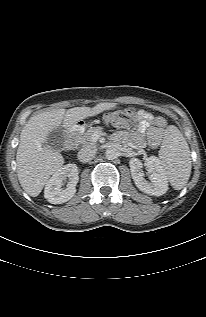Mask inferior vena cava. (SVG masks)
<instances>
[{
    "label": "inferior vena cava",
    "instance_id": "1",
    "mask_svg": "<svg viewBox=\"0 0 206 317\" xmlns=\"http://www.w3.org/2000/svg\"><path fill=\"white\" fill-rule=\"evenodd\" d=\"M96 154V150L94 148L91 147H85L82 148L79 152H78V160L80 162L86 163L89 162L90 160H92L94 158Z\"/></svg>",
    "mask_w": 206,
    "mask_h": 317
}]
</instances>
